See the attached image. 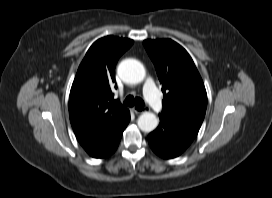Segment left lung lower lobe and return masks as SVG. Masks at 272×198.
I'll return each instance as SVG.
<instances>
[{
  "instance_id": "obj_1",
  "label": "left lung lower lobe",
  "mask_w": 272,
  "mask_h": 198,
  "mask_svg": "<svg viewBox=\"0 0 272 198\" xmlns=\"http://www.w3.org/2000/svg\"><path fill=\"white\" fill-rule=\"evenodd\" d=\"M159 117L160 124L149 134L148 142L160 157L175 158L187 149L200 127L162 114Z\"/></svg>"
}]
</instances>
